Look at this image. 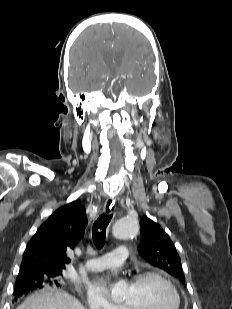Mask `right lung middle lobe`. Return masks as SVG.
<instances>
[{"label": "right lung middle lobe", "instance_id": "right-lung-middle-lobe-1", "mask_svg": "<svg viewBox=\"0 0 232 309\" xmlns=\"http://www.w3.org/2000/svg\"><path fill=\"white\" fill-rule=\"evenodd\" d=\"M62 270H48V271H19L16 279L15 287L25 285L32 280H36L39 286H60Z\"/></svg>", "mask_w": 232, "mask_h": 309}]
</instances>
